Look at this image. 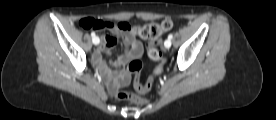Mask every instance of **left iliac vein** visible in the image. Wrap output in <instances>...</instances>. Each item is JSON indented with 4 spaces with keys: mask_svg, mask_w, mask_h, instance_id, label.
<instances>
[{
    "mask_svg": "<svg viewBox=\"0 0 276 120\" xmlns=\"http://www.w3.org/2000/svg\"><path fill=\"white\" fill-rule=\"evenodd\" d=\"M164 44H166L168 46L166 48H170L171 47V40H169V39L166 40Z\"/></svg>",
    "mask_w": 276,
    "mask_h": 120,
    "instance_id": "obj_1",
    "label": "left iliac vein"
}]
</instances>
